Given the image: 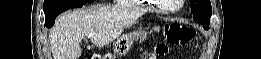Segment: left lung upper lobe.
I'll list each match as a JSON object with an SVG mask.
<instances>
[{
  "label": "left lung upper lobe",
  "mask_w": 261,
  "mask_h": 59,
  "mask_svg": "<svg viewBox=\"0 0 261 59\" xmlns=\"http://www.w3.org/2000/svg\"><path fill=\"white\" fill-rule=\"evenodd\" d=\"M191 2V12L195 16L194 19L209 23L212 7L210 0H190Z\"/></svg>",
  "instance_id": "5c2ea615"
}]
</instances>
